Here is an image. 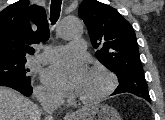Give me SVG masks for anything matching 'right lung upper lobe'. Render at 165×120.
<instances>
[{"label": "right lung upper lobe", "instance_id": "1", "mask_svg": "<svg viewBox=\"0 0 165 120\" xmlns=\"http://www.w3.org/2000/svg\"><path fill=\"white\" fill-rule=\"evenodd\" d=\"M37 26V31L32 30ZM49 37L44 8L21 0L0 13V60L25 58L33 54L30 44H38Z\"/></svg>", "mask_w": 165, "mask_h": 120}]
</instances>
